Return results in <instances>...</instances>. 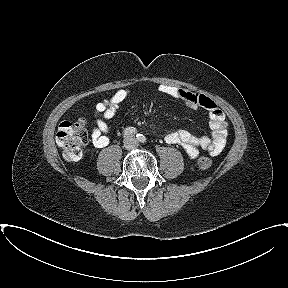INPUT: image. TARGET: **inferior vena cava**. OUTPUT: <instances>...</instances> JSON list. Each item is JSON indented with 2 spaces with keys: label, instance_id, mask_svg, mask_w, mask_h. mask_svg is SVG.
Here are the masks:
<instances>
[{
  "label": "inferior vena cava",
  "instance_id": "inferior-vena-cava-1",
  "mask_svg": "<svg viewBox=\"0 0 288 288\" xmlns=\"http://www.w3.org/2000/svg\"><path fill=\"white\" fill-rule=\"evenodd\" d=\"M126 146L128 149H133L138 146V143L135 141L134 138H131L128 140V142H126Z\"/></svg>",
  "mask_w": 288,
  "mask_h": 288
}]
</instances>
